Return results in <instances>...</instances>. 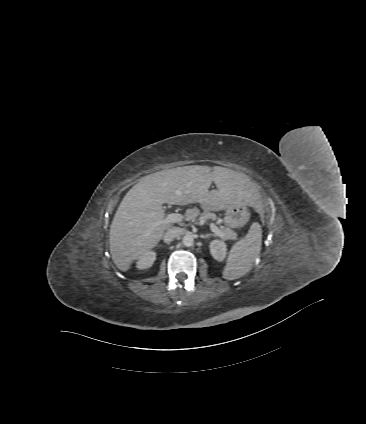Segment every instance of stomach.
Here are the masks:
<instances>
[{"label":"stomach","mask_w":366,"mask_h":424,"mask_svg":"<svg viewBox=\"0 0 366 424\" xmlns=\"http://www.w3.org/2000/svg\"><path fill=\"white\" fill-rule=\"evenodd\" d=\"M249 217V211L246 205H232L226 209L224 223L229 228L241 226V219Z\"/></svg>","instance_id":"0dacf381"}]
</instances>
